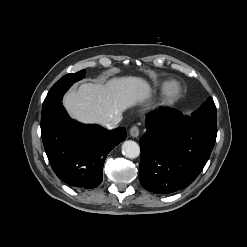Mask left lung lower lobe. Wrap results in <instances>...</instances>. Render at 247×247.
Listing matches in <instances>:
<instances>
[{"label":"left lung lower lobe","mask_w":247,"mask_h":247,"mask_svg":"<svg viewBox=\"0 0 247 247\" xmlns=\"http://www.w3.org/2000/svg\"><path fill=\"white\" fill-rule=\"evenodd\" d=\"M146 128L140 139L142 186L160 194L187 187L208 161L217 129L194 124L171 108L151 114Z\"/></svg>","instance_id":"obj_1"}]
</instances>
